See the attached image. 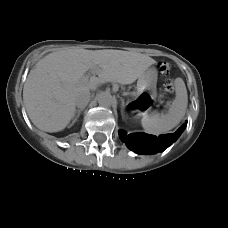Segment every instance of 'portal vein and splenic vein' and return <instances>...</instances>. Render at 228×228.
Listing matches in <instances>:
<instances>
[{
	"mask_svg": "<svg viewBox=\"0 0 228 228\" xmlns=\"http://www.w3.org/2000/svg\"><path fill=\"white\" fill-rule=\"evenodd\" d=\"M92 73H94V72L92 71ZM95 79H96V77H94V76L90 77V81H94ZM83 81L84 82L89 81V76H84L83 77Z\"/></svg>",
	"mask_w": 228,
	"mask_h": 228,
	"instance_id": "18ae733b",
	"label": "portal vein and splenic vein"
}]
</instances>
